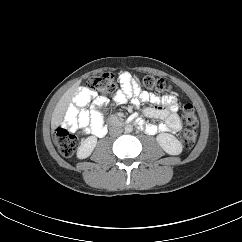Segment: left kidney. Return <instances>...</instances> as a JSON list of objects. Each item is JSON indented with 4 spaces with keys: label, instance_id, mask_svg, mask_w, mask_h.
<instances>
[{
    "label": "left kidney",
    "instance_id": "left-kidney-1",
    "mask_svg": "<svg viewBox=\"0 0 242 242\" xmlns=\"http://www.w3.org/2000/svg\"><path fill=\"white\" fill-rule=\"evenodd\" d=\"M157 142L161 148L170 155H179L183 150L181 142L172 134L161 133L157 136Z\"/></svg>",
    "mask_w": 242,
    "mask_h": 242
}]
</instances>
